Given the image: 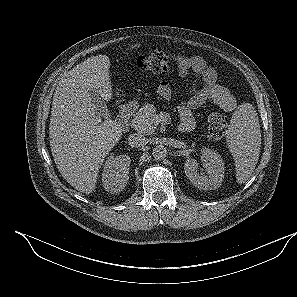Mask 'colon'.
Masks as SVG:
<instances>
[{
	"label": "colon",
	"mask_w": 297,
	"mask_h": 297,
	"mask_svg": "<svg viewBox=\"0 0 297 297\" xmlns=\"http://www.w3.org/2000/svg\"><path fill=\"white\" fill-rule=\"evenodd\" d=\"M174 60L173 54L163 51H153L140 56L137 60L139 68L157 74H168L171 63ZM227 119L220 113H213L208 118V132L212 138H222L227 130Z\"/></svg>",
	"instance_id": "colon-1"
}]
</instances>
